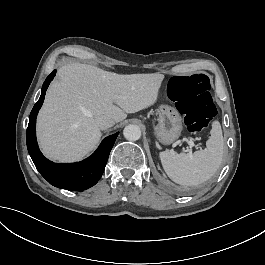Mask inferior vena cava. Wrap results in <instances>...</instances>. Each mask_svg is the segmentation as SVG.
<instances>
[{"instance_id":"602c4592","label":"inferior vena cava","mask_w":265,"mask_h":265,"mask_svg":"<svg viewBox=\"0 0 265 265\" xmlns=\"http://www.w3.org/2000/svg\"><path fill=\"white\" fill-rule=\"evenodd\" d=\"M97 124L101 130H106L109 127H112L115 124V121L111 117L103 115L97 119Z\"/></svg>"}]
</instances>
